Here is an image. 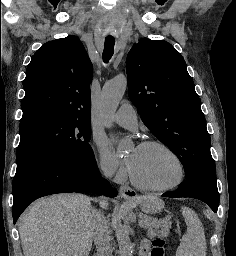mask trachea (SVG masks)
I'll return each instance as SVG.
<instances>
[{
    "label": "trachea",
    "mask_w": 236,
    "mask_h": 256,
    "mask_svg": "<svg viewBox=\"0 0 236 256\" xmlns=\"http://www.w3.org/2000/svg\"><path fill=\"white\" fill-rule=\"evenodd\" d=\"M115 45L114 38H105V45L103 51V60L105 63L109 62L110 58L113 55V49Z\"/></svg>",
    "instance_id": "1"
}]
</instances>
